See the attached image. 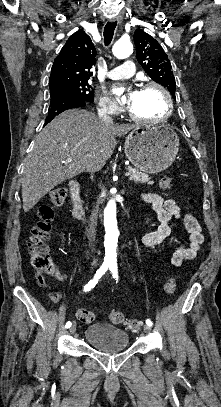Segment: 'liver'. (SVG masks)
Listing matches in <instances>:
<instances>
[{"label": "liver", "mask_w": 221, "mask_h": 407, "mask_svg": "<svg viewBox=\"0 0 221 407\" xmlns=\"http://www.w3.org/2000/svg\"><path fill=\"white\" fill-rule=\"evenodd\" d=\"M134 128L127 124L105 125L84 109L67 110L55 117L36 137L25 160L21 179L24 212L65 180L100 170L113 154L116 137ZM68 156L72 161L66 163Z\"/></svg>", "instance_id": "6515ba94"}]
</instances>
